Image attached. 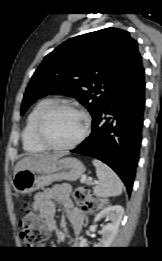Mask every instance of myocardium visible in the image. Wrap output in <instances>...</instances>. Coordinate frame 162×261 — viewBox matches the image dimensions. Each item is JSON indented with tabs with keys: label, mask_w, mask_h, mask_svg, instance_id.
<instances>
[{
	"label": "myocardium",
	"mask_w": 162,
	"mask_h": 261,
	"mask_svg": "<svg viewBox=\"0 0 162 261\" xmlns=\"http://www.w3.org/2000/svg\"><path fill=\"white\" fill-rule=\"evenodd\" d=\"M59 109H69L76 113H78L83 120V129L80 135L72 142L65 145H56L50 142L45 133V124L49 118V116L59 110ZM90 131V117L85 110L78 107L77 105L68 102V101H58L53 102L47 108H45L40 114L37 123H36V138L38 143L43 146L46 150L51 151H66L75 148L79 144H81L85 138L88 136Z\"/></svg>",
	"instance_id": "f54148a6"
}]
</instances>
